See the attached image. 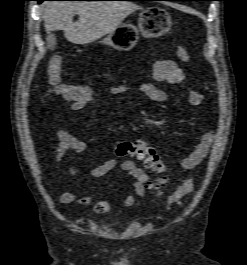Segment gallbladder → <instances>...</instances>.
Instances as JSON below:
<instances>
[{
	"label": "gallbladder",
	"instance_id": "obj_1",
	"mask_svg": "<svg viewBox=\"0 0 247 265\" xmlns=\"http://www.w3.org/2000/svg\"><path fill=\"white\" fill-rule=\"evenodd\" d=\"M46 40H47V44H48V47L49 48H52V47L55 46V44H56V37H55V35L53 33L47 32Z\"/></svg>",
	"mask_w": 247,
	"mask_h": 265
}]
</instances>
